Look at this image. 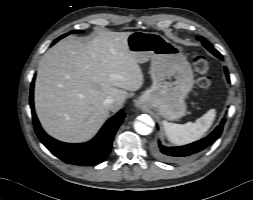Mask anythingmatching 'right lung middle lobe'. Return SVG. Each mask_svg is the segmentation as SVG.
<instances>
[{"instance_id":"right-lung-middle-lobe-1","label":"right lung middle lobe","mask_w":253,"mask_h":200,"mask_svg":"<svg viewBox=\"0 0 253 200\" xmlns=\"http://www.w3.org/2000/svg\"><path fill=\"white\" fill-rule=\"evenodd\" d=\"M82 31H80V30H74V31H71L70 33H81ZM67 34H65V35H62L60 38H63V37H65ZM60 38H58V39H60ZM57 39V40H58ZM56 40V41H57Z\"/></svg>"}]
</instances>
